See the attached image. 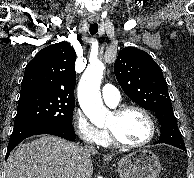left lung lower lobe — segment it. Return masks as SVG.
Returning a JSON list of instances; mask_svg holds the SVG:
<instances>
[{
	"label": "left lung lower lobe",
	"mask_w": 194,
	"mask_h": 178,
	"mask_svg": "<svg viewBox=\"0 0 194 178\" xmlns=\"http://www.w3.org/2000/svg\"><path fill=\"white\" fill-rule=\"evenodd\" d=\"M165 143L178 147L185 151V144L178 129L177 123H168L161 127V135L158 142L154 144Z\"/></svg>",
	"instance_id": "obj_1"
}]
</instances>
